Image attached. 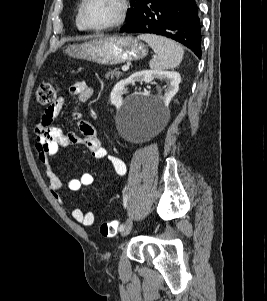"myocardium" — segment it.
I'll use <instances>...</instances> for the list:
<instances>
[{"label": "myocardium", "mask_w": 267, "mask_h": 301, "mask_svg": "<svg viewBox=\"0 0 267 301\" xmlns=\"http://www.w3.org/2000/svg\"><path fill=\"white\" fill-rule=\"evenodd\" d=\"M87 1L88 0H81L80 6H79L80 22L85 29L92 30V31L110 30V29L120 26L125 21V18L127 16L128 9H129V0H118L119 11H118L116 17L114 18V20H112L109 23H106L103 25H98V26L90 25L85 18V7L87 4Z\"/></svg>", "instance_id": "f54148a6"}]
</instances>
